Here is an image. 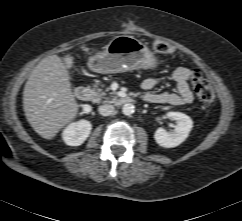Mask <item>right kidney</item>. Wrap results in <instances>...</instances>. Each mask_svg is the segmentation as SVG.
Returning a JSON list of instances; mask_svg holds the SVG:
<instances>
[{"label": "right kidney", "instance_id": "obj_1", "mask_svg": "<svg viewBox=\"0 0 242 221\" xmlns=\"http://www.w3.org/2000/svg\"><path fill=\"white\" fill-rule=\"evenodd\" d=\"M92 125L87 120H80L68 125L63 133L62 138L69 146L81 145L89 136Z\"/></svg>", "mask_w": 242, "mask_h": 221}]
</instances>
